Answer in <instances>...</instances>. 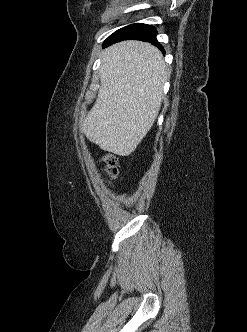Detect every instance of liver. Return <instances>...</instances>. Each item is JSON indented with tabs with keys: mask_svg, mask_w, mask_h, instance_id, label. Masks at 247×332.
I'll return each instance as SVG.
<instances>
[{
	"mask_svg": "<svg viewBox=\"0 0 247 332\" xmlns=\"http://www.w3.org/2000/svg\"><path fill=\"white\" fill-rule=\"evenodd\" d=\"M101 59V88L80 131L102 150L128 156L155 122L169 73L150 43L120 42Z\"/></svg>",
	"mask_w": 247,
	"mask_h": 332,
	"instance_id": "liver-1",
	"label": "liver"
}]
</instances>
